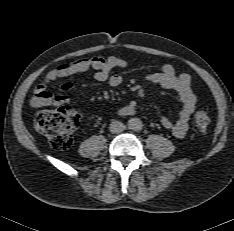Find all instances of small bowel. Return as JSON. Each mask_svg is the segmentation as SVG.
I'll use <instances>...</instances> for the list:
<instances>
[{
    "label": "small bowel",
    "instance_id": "1",
    "mask_svg": "<svg viewBox=\"0 0 234 231\" xmlns=\"http://www.w3.org/2000/svg\"><path fill=\"white\" fill-rule=\"evenodd\" d=\"M128 66V61L118 56H95L83 58L76 62L61 65L50 70L43 80L35 87L31 98V105L35 108L44 106H61L70 101L63 93L53 95L49 91V86L60 78H65L76 73L85 72L94 69V78L97 81H107L111 87H118L122 84L123 78L119 74H112L115 69H122ZM142 79L151 84L160 85L163 88L174 90L178 93L182 107L178 113L176 121L168 117H162V125L171 130L177 138H183L188 131V121L194 112L196 106V95L191 87V78L188 74L182 73L177 75L173 66L165 64L161 70L154 73L143 75ZM74 86L73 83H65L62 86L63 91H67ZM85 97V91L80 90L77 100ZM137 103L131 101L129 104L117 108L120 115H133L136 113Z\"/></svg>",
    "mask_w": 234,
    "mask_h": 231
}]
</instances>
